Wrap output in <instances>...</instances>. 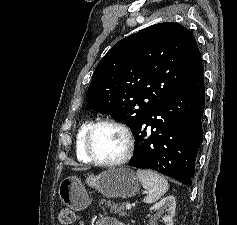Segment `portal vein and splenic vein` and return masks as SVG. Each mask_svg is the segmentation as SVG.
<instances>
[{"instance_id":"obj_1","label":"portal vein and splenic vein","mask_w":237,"mask_h":225,"mask_svg":"<svg viewBox=\"0 0 237 225\" xmlns=\"http://www.w3.org/2000/svg\"><path fill=\"white\" fill-rule=\"evenodd\" d=\"M126 209L130 210L131 209V204H126Z\"/></svg>"}]
</instances>
